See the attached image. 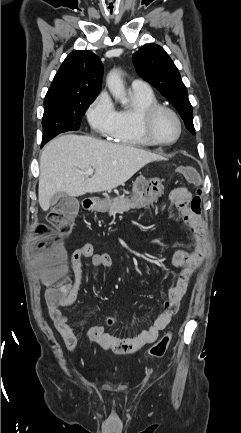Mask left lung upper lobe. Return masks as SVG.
Masks as SVG:
<instances>
[{
  "label": "left lung upper lobe",
  "mask_w": 241,
  "mask_h": 433,
  "mask_svg": "<svg viewBox=\"0 0 241 433\" xmlns=\"http://www.w3.org/2000/svg\"><path fill=\"white\" fill-rule=\"evenodd\" d=\"M137 73L165 96L181 114L187 129L195 134L193 110L179 71L165 50L156 44L142 47L132 57Z\"/></svg>",
  "instance_id": "left-lung-upper-lobe-1"
}]
</instances>
